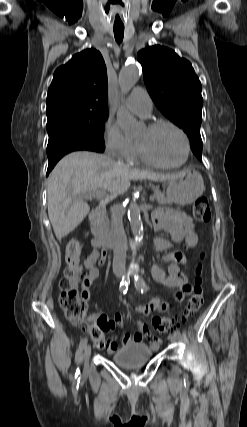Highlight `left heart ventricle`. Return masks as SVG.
<instances>
[{
  "instance_id": "left-heart-ventricle-1",
  "label": "left heart ventricle",
  "mask_w": 247,
  "mask_h": 427,
  "mask_svg": "<svg viewBox=\"0 0 247 427\" xmlns=\"http://www.w3.org/2000/svg\"><path fill=\"white\" fill-rule=\"evenodd\" d=\"M138 142H141L149 154L161 163H178L184 155V144L181 136L167 126L153 131L145 128L139 136Z\"/></svg>"
}]
</instances>
